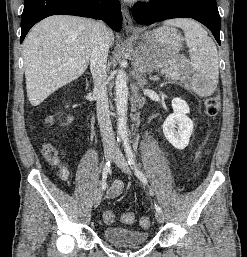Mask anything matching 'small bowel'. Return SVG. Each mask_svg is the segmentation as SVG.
<instances>
[{"instance_id":"obj_1","label":"small bowel","mask_w":247,"mask_h":257,"mask_svg":"<svg viewBox=\"0 0 247 257\" xmlns=\"http://www.w3.org/2000/svg\"><path fill=\"white\" fill-rule=\"evenodd\" d=\"M50 163L58 168L59 176L63 181H67L69 178L68 168L61 162L58 154L51 159H48ZM123 183L121 181H115L107 191V198L113 199L119 196L123 190Z\"/></svg>"}]
</instances>
